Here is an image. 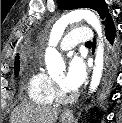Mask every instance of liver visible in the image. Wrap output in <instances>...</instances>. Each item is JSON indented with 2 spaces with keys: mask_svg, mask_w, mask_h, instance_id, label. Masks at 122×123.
Returning a JSON list of instances; mask_svg holds the SVG:
<instances>
[{
  "mask_svg": "<svg viewBox=\"0 0 122 123\" xmlns=\"http://www.w3.org/2000/svg\"><path fill=\"white\" fill-rule=\"evenodd\" d=\"M57 108L34 104H21L11 117V123H56Z\"/></svg>",
  "mask_w": 122,
  "mask_h": 123,
  "instance_id": "1",
  "label": "liver"
}]
</instances>
